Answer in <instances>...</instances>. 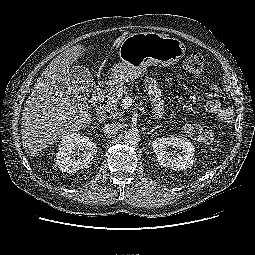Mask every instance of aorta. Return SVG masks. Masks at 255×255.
<instances>
[{
	"instance_id": "obj_1",
	"label": "aorta",
	"mask_w": 255,
	"mask_h": 255,
	"mask_svg": "<svg viewBox=\"0 0 255 255\" xmlns=\"http://www.w3.org/2000/svg\"><path fill=\"white\" fill-rule=\"evenodd\" d=\"M140 141V134L137 129H130L124 135V142L127 145H136Z\"/></svg>"
}]
</instances>
